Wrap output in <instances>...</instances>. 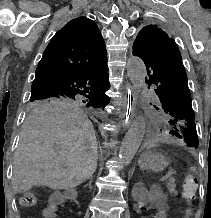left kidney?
<instances>
[{
	"label": "left kidney",
	"mask_w": 211,
	"mask_h": 218,
	"mask_svg": "<svg viewBox=\"0 0 211 218\" xmlns=\"http://www.w3.org/2000/svg\"><path fill=\"white\" fill-rule=\"evenodd\" d=\"M144 207H155V213H152V218H165L172 212V207H166V198H151L148 192L146 198H139V202H135V215H147V210Z\"/></svg>",
	"instance_id": "left-kidney-1"
}]
</instances>
